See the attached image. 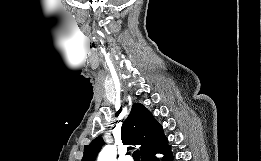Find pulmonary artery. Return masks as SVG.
<instances>
[{
  "label": "pulmonary artery",
  "instance_id": "1",
  "mask_svg": "<svg viewBox=\"0 0 261 161\" xmlns=\"http://www.w3.org/2000/svg\"><path fill=\"white\" fill-rule=\"evenodd\" d=\"M124 161H132V157L127 155L125 158H124Z\"/></svg>",
  "mask_w": 261,
  "mask_h": 161
}]
</instances>
